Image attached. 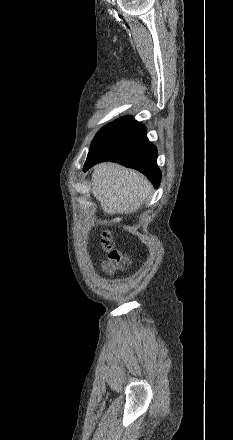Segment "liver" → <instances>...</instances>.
Returning a JSON list of instances; mask_svg holds the SVG:
<instances>
[{
    "label": "liver",
    "instance_id": "obj_1",
    "mask_svg": "<svg viewBox=\"0 0 233 440\" xmlns=\"http://www.w3.org/2000/svg\"><path fill=\"white\" fill-rule=\"evenodd\" d=\"M152 189L140 173L113 163L94 167L92 194L105 214H129L137 211Z\"/></svg>",
    "mask_w": 233,
    "mask_h": 440
}]
</instances>
